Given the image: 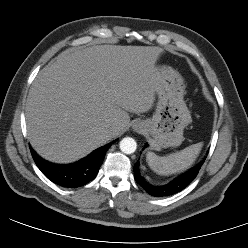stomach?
Segmentation results:
<instances>
[{"label":"stomach","instance_id":"obj_1","mask_svg":"<svg viewBox=\"0 0 248 248\" xmlns=\"http://www.w3.org/2000/svg\"><path fill=\"white\" fill-rule=\"evenodd\" d=\"M158 102L151 119L143 121L144 133L158 150L179 146L184 140L183 130L191 123V114L184 101L185 84L182 76L170 66L157 68Z\"/></svg>","mask_w":248,"mask_h":248}]
</instances>
